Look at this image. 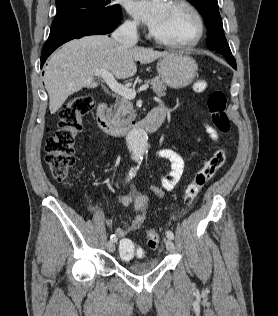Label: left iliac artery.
<instances>
[{
	"label": "left iliac artery",
	"instance_id": "obj_1",
	"mask_svg": "<svg viewBox=\"0 0 278 316\" xmlns=\"http://www.w3.org/2000/svg\"><path fill=\"white\" fill-rule=\"evenodd\" d=\"M166 236L168 239L173 240L174 239V234L172 231L168 230L166 231Z\"/></svg>",
	"mask_w": 278,
	"mask_h": 316
}]
</instances>
